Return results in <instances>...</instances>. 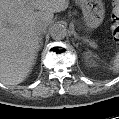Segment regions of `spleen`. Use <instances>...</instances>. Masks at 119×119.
<instances>
[{
	"label": "spleen",
	"mask_w": 119,
	"mask_h": 119,
	"mask_svg": "<svg viewBox=\"0 0 119 119\" xmlns=\"http://www.w3.org/2000/svg\"><path fill=\"white\" fill-rule=\"evenodd\" d=\"M111 69L115 73L119 72V52L116 53V56H115V58L113 60V67Z\"/></svg>",
	"instance_id": "3e777b00"
}]
</instances>
